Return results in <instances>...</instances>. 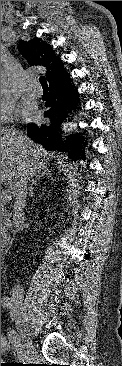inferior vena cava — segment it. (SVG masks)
<instances>
[{
  "label": "inferior vena cava",
  "mask_w": 122,
  "mask_h": 366,
  "mask_svg": "<svg viewBox=\"0 0 122 366\" xmlns=\"http://www.w3.org/2000/svg\"><path fill=\"white\" fill-rule=\"evenodd\" d=\"M28 175H23L16 183L14 190V207H13V224L15 227H22L24 224V208L26 206L27 194H28ZM12 296L21 299L23 297V289L20 285L15 286L12 289Z\"/></svg>",
  "instance_id": "inferior-vena-cava-1"
}]
</instances>
